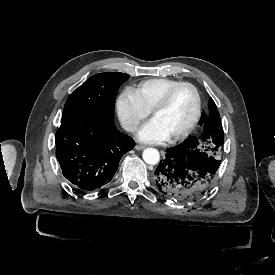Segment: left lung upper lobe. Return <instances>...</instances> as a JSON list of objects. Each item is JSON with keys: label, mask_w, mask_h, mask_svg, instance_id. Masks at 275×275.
Instances as JSON below:
<instances>
[{"label": "left lung upper lobe", "mask_w": 275, "mask_h": 275, "mask_svg": "<svg viewBox=\"0 0 275 275\" xmlns=\"http://www.w3.org/2000/svg\"><path fill=\"white\" fill-rule=\"evenodd\" d=\"M208 108L209 114L206 116L203 112L199 121V124L203 125L201 137L189 136L172 150L205 169L216 172L221 163L218 155L224 142V132L219 112L212 98L208 101Z\"/></svg>", "instance_id": "obj_1"}]
</instances>
